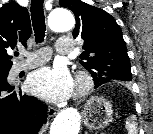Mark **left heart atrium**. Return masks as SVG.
<instances>
[{"mask_svg":"<svg viewBox=\"0 0 153 134\" xmlns=\"http://www.w3.org/2000/svg\"><path fill=\"white\" fill-rule=\"evenodd\" d=\"M30 92L50 102H62L74 90V81L64 65L45 66L32 72L27 80Z\"/></svg>","mask_w":153,"mask_h":134,"instance_id":"obj_1","label":"left heart atrium"}]
</instances>
